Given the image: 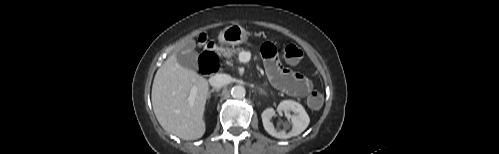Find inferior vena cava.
<instances>
[{
    "label": "inferior vena cava",
    "mask_w": 499,
    "mask_h": 154,
    "mask_svg": "<svg viewBox=\"0 0 499 154\" xmlns=\"http://www.w3.org/2000/svg\"><path fill=\"white\" fill-rule=\"evenodd\" d=\"M230 82V76L227 74H216L211 76L209 79V83L211 86L215 88H220L227 85Z\"/></svg>",
    "instance_id": "obj_1"
}]
</instances>
